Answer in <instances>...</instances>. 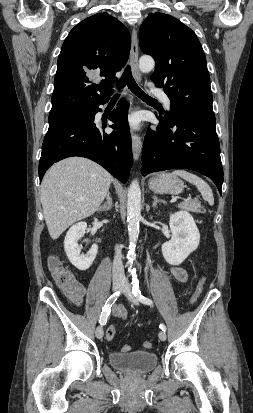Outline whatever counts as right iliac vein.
<instances>
[{
  "label": "right iliac vein",
  "mask_w": 253,
  "mask_h": 413,
  "mask_svg": "<svg viewBox=\"0 0 253 413\" xmlns=\"http://www.w3.org/2000/svg\"><path fill=\"white\" fill-rule=\"evenodd\" d=\"M120 287H121V280L115 279V280L113 281V287H112V288H113V291H117ZM95 334H96V337H97L98 339H102V337H103V335H104V331H103L102 326H98V327L96 328Z\"/></svg>",
  "instance_id": "1"
}]
</instances>
